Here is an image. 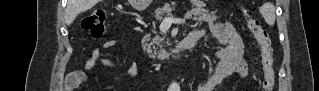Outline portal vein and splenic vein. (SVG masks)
<instances>
[{
    "instance_id": "18ae733b",
    "label": "portal vein and splenic vein",
    "mask_w": 319,
    "mask_h": 91,
    "mask_svg": "<svg viewBox=\"0 0 319 91\" xmlns=\"http://www.w3.org/2000/svg\"><path fill=\"white\" fill-rule=\"evenodd\" d=\"M164 21H166V22H168V23H170V24H172V23H182V22H184V21L181 20V19H175V18L170 17V16L165 17Z\"/></svg>"
}]
</instances>
